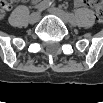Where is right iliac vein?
<instances>
[{
	"instance_id": "1",
	"label": "right iliac vein",
	"mask_w": 103,
	"mask_h": 103,
	"mask_svg": "<svg viewBox=\"0 0 103 103\" xmlns=\"http://www.w3.org/2000/svg\"><path fill=\"white\" fill-rule=\"evenodd\" d=\"M40 18V13L34 12L29 17V22L34 24L36 23Z\"/></svg>"
}]
</instances>
